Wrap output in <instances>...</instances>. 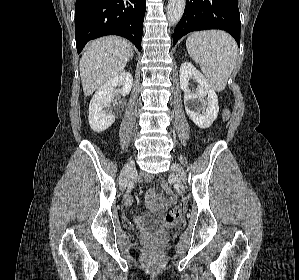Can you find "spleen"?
<instances>
[{"label": "spleen", "instance_id": "spleen-1", "mask_svg": "<svg viewBox=\"0 0 299 280\" xmlns=\"http://www.w3.org/2000/svg\"><path fill=\"white\" fill-rule=\"evenodd\" d=\"M186 48L211 87L223 91L238 58L234 39L223 31H200L189 35Z\"/></svg>", "mask_w": 299, "mask_h": 280}]
</instances>
